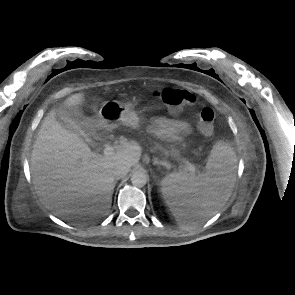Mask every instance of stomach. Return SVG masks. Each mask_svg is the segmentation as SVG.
Segmentation results:
<instances>
[{
  "label": "stomach",
  "mask_w": 295,
  "mask_h": 295,
  "mask_svg": "<svg viewBox=\"0 0 295 295\" xmlns=\"http://www.w3.org/2000/svg\"><path fill=\"white\" fill-rule=\"evenodd\" d=\"M95 123L97 126L107 129H113L119 125L139 129L141 118L131 104L114 100L103 103ZM171 153L174 156L177 155L174 150Z\"/></svg>",
  "instance_id": "stomach-1"
}]
</instances>
